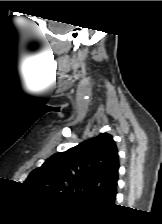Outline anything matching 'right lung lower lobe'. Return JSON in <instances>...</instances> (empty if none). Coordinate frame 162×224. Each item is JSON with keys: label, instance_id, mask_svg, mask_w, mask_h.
<instances>
[{"label": "right lung lower lobe", "instance_id": "right-lung-lower-lobe-1", "mask_svg": "<svg viewBox=\"0 0 162 224\" xmlns=\"http://www.w3.org/2000/svg\"><path fill=\"white\" fill-rule=\"evenodd\" d=\"M116 195L111 199L112 202H114Z\"/></svg>", "mask_w": 162, "mask_h": 224}]
</instances>
